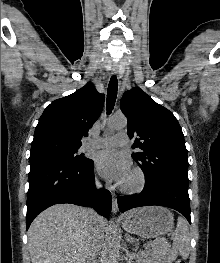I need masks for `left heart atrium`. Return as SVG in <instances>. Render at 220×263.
Segmentation results:
<instances>
[{
	"mask_svg": "<svg viewBox=\"0 0 220 263\" xmlns=\"http://www.w3.org/2000/svg\"><path fill=\"white\" fill-rule=\"evenodd\" d=\"M96 165L102 176L118 184H122L131 171L129 158L114 149L99 152L96 157Z\"/></svg>",
	"mask_w": 220,
	"mask_h": 263,
	"instance_id": "1",
	"label": "left heart atrium"
}]
</instances>
